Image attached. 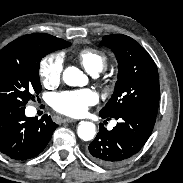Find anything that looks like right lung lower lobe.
Masks as SVG:
<instances>
[{"label":"right lung lower lobe","mask_w":183,"mask_h":183,"mask_svg":"<svg viewBox=\"0 0 183 183\" xmlns=\"http://www.w3.org/2000/svg\"><path fill=\"white\" fill-rule=\"evenodd\" d=\"M25 106L0 108V152L15 160H26L40 154L58 126L51 117L40 120L25 116Z\"/></svg>","instance_id":"obj_1"}]
</instances>
